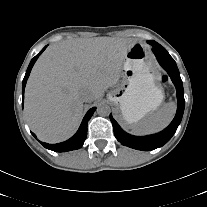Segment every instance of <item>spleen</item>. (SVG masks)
Here are the masks:
<instances>
[{
	"label": "spleen",
	"instance_id": "spleen-1",
	"mask_svg": "<svg viewBox=\"0 0 207 207\" xmlns=\"http://www.w3.org/2000/svg\"><path fill=\"white\" fill-rule=\"evenodd\" d=\"M176 104L169 102L156 113L132 126L131 132L135 135H146L156 133L164 129L174 118Z\"/></svg>",
	"mask_w": 207,
	"mask_h": 207
}]
</instances>
